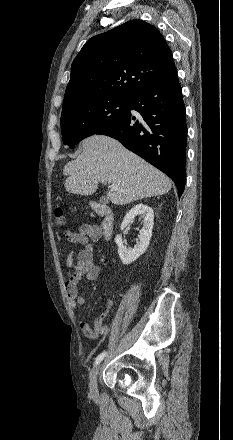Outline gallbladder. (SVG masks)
<instances>
[{"label":"gallbladder","instance_id":"obj_1","mask_svg":"<svg viewBox=\"0 0 233 440\" xmlns=\"http://www.w3.org/2000/svg\"><path fill=\"white\" fill-rule=\"evenodd\" d=\"M100 202L101 203H106L107 202L106 197H104V196L100 197Z\"/></svg>","mask_w":233,"mask_h":440}]
</instances>
